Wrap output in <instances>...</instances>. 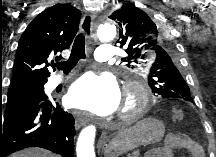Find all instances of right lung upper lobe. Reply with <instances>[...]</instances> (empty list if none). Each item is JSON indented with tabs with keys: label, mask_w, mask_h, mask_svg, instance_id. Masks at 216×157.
I'll return each instance as SVG.
<instances>
[{
	"label": "right lung upper lobe",
	"mask_w": 216,
	"mask_h": 157,
	"mask_svg": "<svg viewBox=\"0 0 216 157\" xmlns=\"http://www.w3.org/2000/svg\"><path fill=\"white\" fill-rule=\"evenodd\" d=\"M80 17V10L72 5L56 4L32 20L19 40L8 92L47 82L49 58L69 48Z\"/></svg>",
	"instance_id": "cb5924a9"
}]
</instances>
